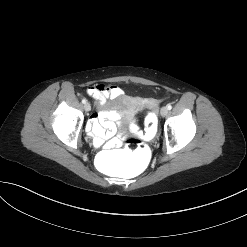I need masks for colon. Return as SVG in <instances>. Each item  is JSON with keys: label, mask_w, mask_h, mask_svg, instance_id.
Masks as SVG:
<instances>
[{"label": "colon", "mask_w": 247, "mask_h": 247, "mask_svg": "<svg viewBox=\"0 0 247 247\" xmlns=\"http://www.w3.org/2000/svg\"><path fill=\"white\" fill-rule=\"evenodd\" d=\"M145 125L147 128L144 129L143 134L150 138L154 134L152 128L155 127L156 122L149 118ZM130 133L133 136L141 135V126H131ZM152 157L150 147L140 138L132 137L125 142L120 152L108 147L98 150L94 158V168L101 175L131 179L147 171Z\"/></svg>", "instance_id": "obj_1"}]
</instances>
